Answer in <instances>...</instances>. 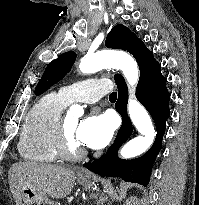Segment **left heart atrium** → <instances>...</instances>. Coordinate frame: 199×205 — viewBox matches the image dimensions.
Wrapping results in <instances>:
<instances>
[{
    "mask_svg": "<svg viewBox=\"0 0 199 205\" xmlns=\"http://www.w3.org/2000/svg\"><path fill=\"white\" fill-rule=\"evenodd\" d=\"M115 121L108 114H92L83 119L77 129L80 144L92 149H101L111 140Z\"/></svg>",
    "mask_w": 199,
    "mask_h": 205,
    "instance_id": "1",
    "label": "left heart atrium"
}]
</instances>
